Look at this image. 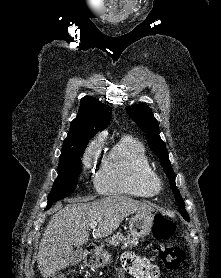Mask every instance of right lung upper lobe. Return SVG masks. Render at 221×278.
I'll return each instance as SVG.
<instances>
[{"mask_svg": "<svg viewBox=\"0 0 221 278\" xmlns=\"http://www.w3.org/2000/svg\"><path fill=\"white\" fill-rule=\"evenodd\" d=\"M111 119V108L97 99L85 96L80 102L77 117L71 122L67 138L63 142L62 151L88 144L99 131L106 128Z\"/></svg>", "mask_w": 221, "mask_h": 278, "instance_id": "1", "label": "right lung upper lobe"}]
</instances>
